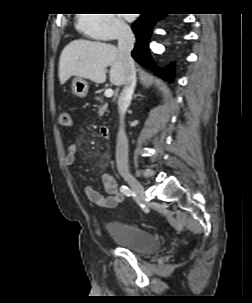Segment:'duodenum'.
<instances>
[{
  "label": "duodenum",
  "mask_w": 252,
  "mask_h": 303,
  "mask_svg": "<svg viewBox=\"0 0 252 303\" xmlns=\"http://www.w3.org/2000/svg\"><path fill=\"white\" fill-rule=\"evenodd\" d=\"M99 131H100L101 137H103V138L109 137L110 131H109V127L107 125H101L99 127Z\"/></svg>",
  "instance_id": "1"
}]
</instances>
